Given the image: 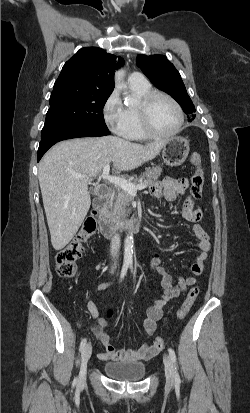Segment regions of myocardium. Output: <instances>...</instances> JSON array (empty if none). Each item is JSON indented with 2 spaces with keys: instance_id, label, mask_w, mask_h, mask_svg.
I'll list each match as a JSON object with an SVG mask.
<instances>
[{
  "instance_id": "f54148a6",
  "label": "myocardium",
  "mask_w": 250,
  "mask_h": 413,
  "mask_svg": "<svg viewBox=\"0 0 250 413\" xmlns=\"http://www.w3.org/2000/svg\"><path fill=\"white\" fill-rule=\"evenodd\" d=\"M157 97H164L167 100H169L174 105V107L176 108L178 112V116H179L178 124L176 128L169 133H159L152 126L151 106H152L153 101ZM137 108H138V113H139L142 129L148 138L169 139V138L176 136L182 130L184 120H185L184 111L181 105L178 103V101L166 92L159 91V90H151L150 92H148L141 98L140 103Z\"/></svg>"
}]
</instances>
